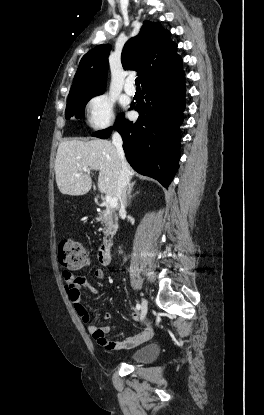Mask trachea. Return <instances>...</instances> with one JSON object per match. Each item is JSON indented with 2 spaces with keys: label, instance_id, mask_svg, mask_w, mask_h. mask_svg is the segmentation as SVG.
<instances>
[{
  "label": "trachea",
  "instance_id": "1",
  "mask_svg": "<svg viewBox=\"0 0 264 415\" xmlns=\"http://www.w3.org/2000/svg\"><path fill=\"white\" fill-rule=\"evenodd\" d=\"M135 84H136L137 87H140V80H139V78H136L135 79Z\"/></svg>",
  "mask_w": 264,
  "mask_h": 415
}]
</instances>
